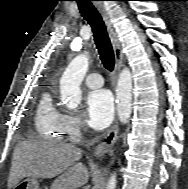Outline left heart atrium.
<instances>
[{
    "instance_id": "left-heart-atrium-1",
    "label": "left heart atrium",
    "mask_w": 188,
    "mask_h": 189,
    "mask_svg": "<svg viewBox=\"0 0 188 189\" xmlns=\"http://www.w3.org/2000/svg\"><path fill=\"white\" fill-rule=\"evenodd\" d=\"M86 106L90 126L101 130L111 123L114 114V100L110 91L100 89L89 93Z\"/></svg>"
}]
</instances>
